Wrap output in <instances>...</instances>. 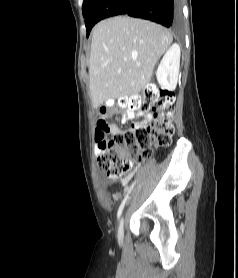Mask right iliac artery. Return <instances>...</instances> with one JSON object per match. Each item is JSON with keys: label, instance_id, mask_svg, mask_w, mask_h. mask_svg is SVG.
<instances>
[{"label": "right iliac artery", "instance_id": "82829eb1", "mask_svg": "<svg viewBox=\"0 0 238 278\" xmlns=\"http://www.w3.org/2000/svg\"><path fill=\"white\" fill-rule=\"evenodd\" d=\"M135 183H136V181H134V182L132 183V185L128 188L127 194L125 195L124 199H123L122 202H121V205H120V207H119V209H118V213H117V218H118V219H119L120 216H121V213H122V210H123V208H124V205H125V203H126V201H127V199H128V196H129L130 192L132 191V189H133Z\"/></svg>", "mask_w": 238, "mask_h": 278}]
</instances>
